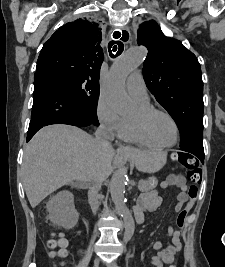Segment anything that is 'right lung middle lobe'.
<instances>
[{
  "label": "right lung middle lobe",
  "instance_id": "1",
  "mask_svg": "<svg viewBox=\"0 0 225 267\" xmlns=\"http://www.w3.org/2000/svg\"><path fill=\"white\" fill-rule=\"evenodd\" d=\"M51 75L70 91L75 100L90 116L91 120L95 124H98L96 109L99 97V85L78 76L61 73Z\"/></svg>",
  "mask_w": 225,
  "mask_h": 267
}]
</instances>
